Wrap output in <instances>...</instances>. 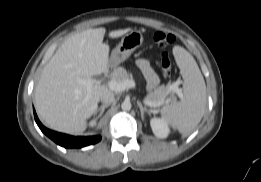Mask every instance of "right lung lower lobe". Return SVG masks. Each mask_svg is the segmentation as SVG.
Here are the masks:
<instances>
[{
	"label": "right lung lower lobe",
	"instance_id": "98d812e1",
	"mask_svg": "<svg viewBox=\"0 0 261 182\" xmlns=\"http://www.w3.org/2000/svg\"><path fill=\"white\" fill-rule=\"evenodd\" d=\"M35 121L38 124L41 131L47 135L50 139L56 142L58 145L65 148H81L91 144H95L101 140L100 136H90V137H74L62 133H58L44 127L39 121L36 112L34 110Z\"/></svg>",
	"mask_w": 261,
	"mask_h": 182
}]
</instances>
